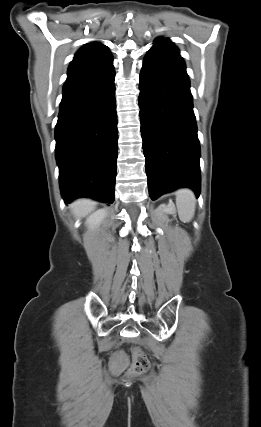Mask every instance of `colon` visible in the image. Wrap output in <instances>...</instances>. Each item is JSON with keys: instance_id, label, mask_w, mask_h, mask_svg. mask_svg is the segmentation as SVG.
<instances>
[{"instance_id": "5ec220e1", "label": "colon", "mask_w": 261, "mask_h": 427, "mask_svg": "<svg viewBox=\"0 0 261 427\" xmlns=\"http://www.w3.org/2000/svg\"><path fill=\"white\" fill-rule=\"evenodd\" d=\"M149 365L146 354L140 348H135L133 351V364L128 373L130 375L142 374L148 370Z\"/></svg>"}]
</instances>
